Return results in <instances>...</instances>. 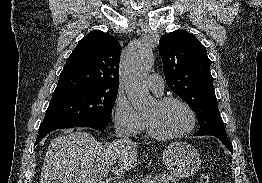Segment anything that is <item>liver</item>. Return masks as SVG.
<instances>
[{
	"label": "liver",
	"mask_w": 262,
	"mask_h": 183,
	"mask_svg": "<svg viewBox=\"0 0 262 183\" xmlns=\"http://www.w3.org/2000/svg\"><path fill=\"white\" fill-rule=\"evenodd\" d=\"M137 148L131 140L100 143L88 132L68 131L49 144L40 183H100L99 175L111 167L122 176L136 166Z\"/></svg>",
	"instance_id": "liver-1"
}]
</instances>
